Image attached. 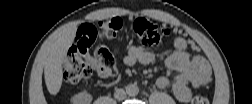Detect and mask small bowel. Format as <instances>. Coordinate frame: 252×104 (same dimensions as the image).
<instances>
[{
    "label": "small bowel",
    "mask_w": 252,
    "mask_h": 104,
    "mask_svg": "<svg viewBox=\"0 0 252 104\" xmlns=\"http://www.w3.org/2000/svg\"><path fill=\"white\" fill-rule=\"evenodd\" d=\"M173 45L174 51L164 58V65L176 74L160 76L156 85L160 89L171 87L176 99L185 103L191 98L190 86L199 88L205 85L211 80L212 72L203 57L191 54L188 43L183 37H176ZM86 61L100 78L110 75L97 56L89 54L86 56ZM123 61L127 66H134L137 63L149 65L154 61V55L142 46H133Z\"/></svg>",
    "instance_id": "small-bowel-1"
}]
</instances>
